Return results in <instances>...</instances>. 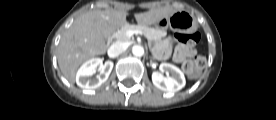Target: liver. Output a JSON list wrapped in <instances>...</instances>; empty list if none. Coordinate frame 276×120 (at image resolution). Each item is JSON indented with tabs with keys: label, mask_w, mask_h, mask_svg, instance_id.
<instances>
[{
	"label": "liver",
	"mask_w": 276,
	"mask_h": 120,
	"mask_svg": "<svg viewBox=\"0 0 276 120\" xmlns=\"http://www.w3.org/2000/svg\"><path fill=\"white\" fill-rule=\"evenodd\" d=\"M174 11L172 7H161L135 14V19L139 25H152ZM126 16V11L93 10L73 22L57 49L60 70L70 83L75 82L76 71L83 62L105 54L107 37L126 24Z\"/></svg>",
	"instance_id": "liver-1"
}]
</instances>
